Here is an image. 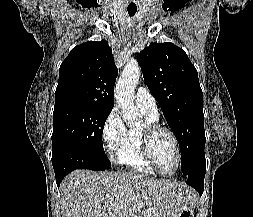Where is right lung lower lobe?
<instances>
[{
    "instance_id": "1",
    "label": "right lung lower lobe",
    "mask_w": 253,
    "mask_h": 217,
    "mask_svg": "<svg viewBox=\"0 0 253 217\" xmlns=\"http://www.w3.org/2000/svg\"><path fill=\"white\" fill-rule=\"evenodd\" d=\"M52 164L58 187L62 179L75 169L105 170L100 169L87 153L80 149L72 148L52 154Z\"/></svg>"
}]
</instances>
